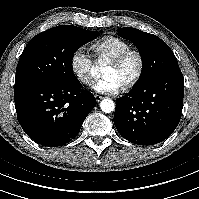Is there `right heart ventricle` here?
<instances>
[{
  "instance_id": "obj_1",
  "label": "right heart ventricle",
  "mask_w": 199,
  "mask_h": 199,
  "mask_svg": "<svg viewBox=\"0 0 199 199\" xmlns=\"http://www.w3.org/2000/svg\"><path fill=\"white\" fill-rule=\"evenodd\" d=\"M130 47L128 41L110 36L95 42L92 51L98 63H109Z\"/></svg>"
}]
</instances>
